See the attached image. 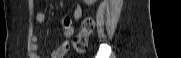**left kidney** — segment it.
<instances>
[{
  "label": "left kidney",
  "mask_w": 181,
  "mask_h": 58,
  "mask_svg": "<svg viewBox=\"0 0 181 58\" xmlns=\"http://www.w3.org/2000/svg\"><path fill=\"white\" fill-rule=\"evenodd\" d=\"M87 5H91L94 2H96V0H83Z\"/></svg>",
  "instance_id": "1"
}]
</instances>
